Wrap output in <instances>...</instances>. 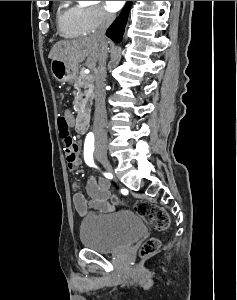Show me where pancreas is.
I'll list each match as a JSON object with an SVG mask.
<instances>
[{
    "label": "pancreas",
    "mask_w": 237,
    "mask_h": 300,
    "mask_svg": "<svg viewBox=\"0 0 237 300\" xmlns=\"http://www.w3.org/2000/svg\"><path fill=\"white\" fill-rule=\"evenodd\" d=\"M94 81L95 79L93 75H86V73H84V69L80 71L79 77H76L75 79V89H84V93L76 95L73 101L74 111L75 113H78L79 117H83V119H86L90 113L88 103H91ZM83 97H86V99H83Z\"/></svg>",
    "instance_id": "pancreas-1"
}]
</instances>
